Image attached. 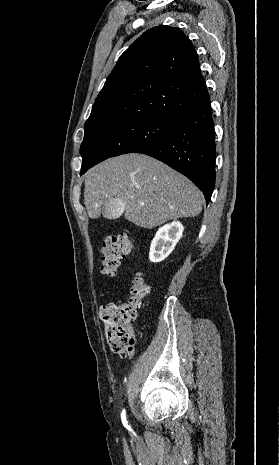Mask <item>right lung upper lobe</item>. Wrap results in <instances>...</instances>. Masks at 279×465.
<instances>
[{"label":"right lung upper lobe","instance_id":"cb5924a9","mask_svg":"<svg viewBox=\"0 0 279 465\" xmlns=\"http://www.w3.org/2000/svg\"><path fill=\"white\" fill-rule=\"evenodd\" d=\"M209 98L190 40L177 28L157 26L121 55L84 129L135 117L174 120Z\"/></svg>","mask_w":279,"mask_h":465}]
</instances>
